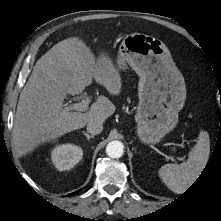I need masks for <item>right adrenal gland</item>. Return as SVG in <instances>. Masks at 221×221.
Instances as JSON below:
<instances>
[{
	"label": "right adrenal gland",
	"instance_id": "obj_1",
	"mask_svg": "<svg viewBox=\"0 0 221 221\" xmlns=\"http://www.w3.org/2000/svg\"><path fill=\"white\" fill-rule=\"evenodd\" d=\"M83 135L86 136L87 140L89 141L91 138H94V135H89L88 133L82 131Z\"/></svg>",
	"mask_w": 221,
	"mask_h": 221
}]
</instances>
